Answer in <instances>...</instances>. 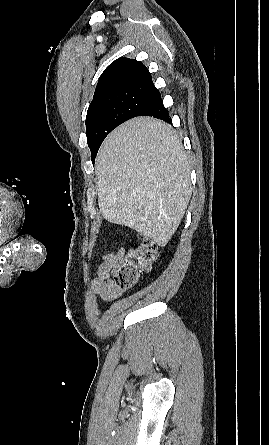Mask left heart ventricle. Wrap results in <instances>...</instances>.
Instances as JSON below:
<instances>
[{
    "mask_svg": "<svg viewBox=\"0 0 269 445\" xmlns=\"http://www.w3.org/2000/svg\"><path fill=\"white\" fill-rule=\"evenodd\" d=\"M2 235V232H1V230H0V236Z\"/></svg>",
    "mask_w": 269,
    "mask_h": 445,
    "instance_id": "left-heart-ventricle-1",
    "label": "left heart ventricle"
}]
</instances>
